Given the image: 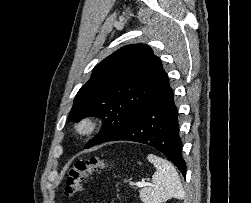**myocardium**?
<instances>
[{"instance_id": "obj_1", "label": "myocardium", "mask_w": 251, "mask_h": 203, "mask_svg": "<svg viewBox=\"0 0 251 203\" xmlns=\"http://www.w3.org/2000/svg\"><path fill=\"white\" fill-rule=\"evenodd\" d=\"M98 119L94 116H84L75 123V131L79 136L92 135L98 128Z\"/></svg>"}]
</instances>
